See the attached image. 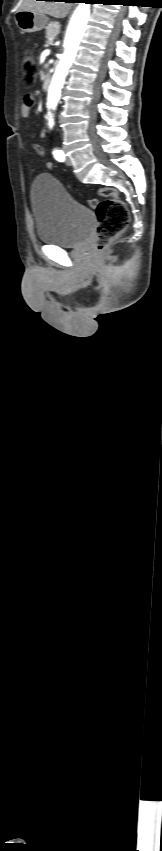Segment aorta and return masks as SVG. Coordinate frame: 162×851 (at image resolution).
<instances>
[{
	"label": "aorta",
	"instance_id": "aorta-1",
	"mask_svg": "<svg viewBox=\"0 0 162 851\" xmlns=\"http://www.w3.org/2000/svg\"><path fill=\"white\" fill-rule=\"evenodd\" d=\"M90 16V4L80 3L70 20L65 41L64 53L57 65L48 90V107L55 108L61 96L68 70L74 61L78 46L84 35Z\"/></svg>",
	"mask_w": 162,
	"mask_h": 851
}]
</instances>
